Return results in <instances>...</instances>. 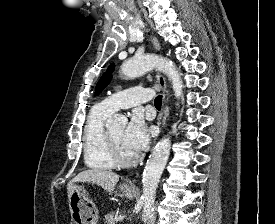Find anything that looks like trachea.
Returning <instances> with one entry per match:
<instances>
[{
  "instance_id": "trachea-1",
  "label": "trachea",
  "mask_w": 275,
  "mask_h": 224,
  "mask_svg": "<svg viewBox=\"0 0 275 224\" xmlns=\"http://www.w3.org/2000/svg\"><path fill=\"white\" fill-rule=\"evenodd\" d=\"M154 104H155V107L161 108V104H162V96L161 95H159L155 98Z\"/></svg>"
}]
</instances>
